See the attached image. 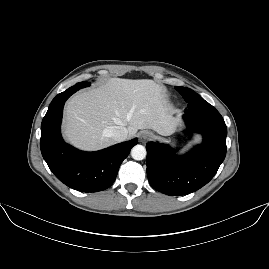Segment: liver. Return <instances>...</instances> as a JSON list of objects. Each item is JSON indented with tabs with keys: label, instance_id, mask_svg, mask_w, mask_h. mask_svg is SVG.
I'll use <instances>...</instances> for the list:
<instances>
[{
	"label": "liver",
	"instance_id": "liver-1",
	"mask_svg": "<svg viewBox=\"0 0 269 269\" xmlns=\"http://www.w3.org/2000/svg\"><path fill=\"white\" fill-rule=\"evenodd\" d=\"M166 88L153 80L110 78L97 88L72 96L66 104L65 139L83 150H99L115 141L108 128L127 127V138L139 129L161 135L173 132Z\"/></svg>",
	"mask_w": 269,
	"mask_h": 269
}]
</instances>
